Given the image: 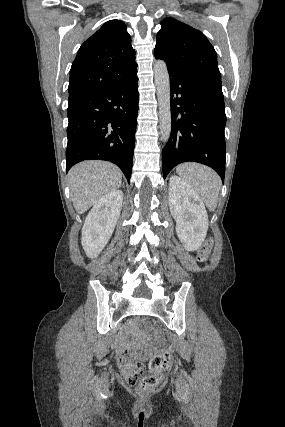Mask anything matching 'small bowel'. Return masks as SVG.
Returning <instances> with one entry per match:
<instances>
[{"label":"small bowel","mask_w":285,"mask_h":427,"mask_svg":"<svg viewBox=\"0 0 285 427\" xmlns=\"http://www.w3.org/2000/svg\"><path fill=\"white\" fill-rule=\"evenodd\" d=\"M124 345H125V340L123 339L120 343L119 349L121 350L122 348H124ZM119 363L125 368V371L127 374H131L134 372L132 363L127 357H120Z\"/></svg>","instance_id":"small-bowel-1"}]
</instances>
